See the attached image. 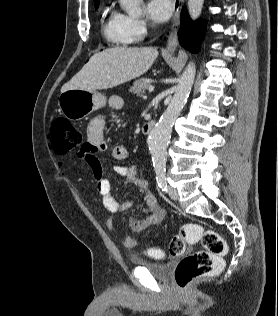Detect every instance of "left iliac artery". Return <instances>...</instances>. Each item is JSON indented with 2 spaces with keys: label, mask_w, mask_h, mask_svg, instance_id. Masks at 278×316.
Here are the masks:
<instances>
[{
  "label": "left iliac artery",
  "mask_w": 278,
  "mask_h": 316,
  "mask_svg": "<svg viewBox=\"0 0 278 316\" xmlns=\"http://www.w3.org/2000/svg\"><path fill=\"white\" fill-rule=\"evenodd\" d=\"M156 180L159 188L167 192L166 169L164 167L156 168Z\"/></svg>",
  "instance_id": "left-iliac-artery-1"
}]
</instances>
